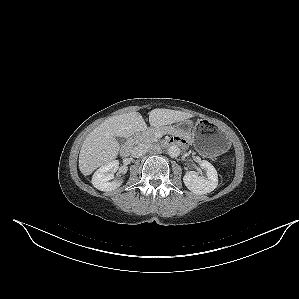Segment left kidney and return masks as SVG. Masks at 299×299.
Wrapping results in <instances>:
<instances>
[{"label": "left kidney", "instance_id": "1", "mask_svg": "<svg viewBox=\"0 0 299 299\" xmlns=\"http://www.w3.org/2000/svg\"><path fill=\"white\" fill-rule=\"evenodd\" d=\"M200 167L206 170L207 177L198 176L192 171L187 172L183 177L185 186L198 195L210 193L218 185V174L214 166L208 161L202 160Z\"/></svg>", "mask_w": 299, "mask_h": 299}]
</instances>
